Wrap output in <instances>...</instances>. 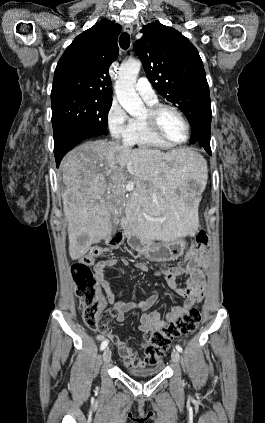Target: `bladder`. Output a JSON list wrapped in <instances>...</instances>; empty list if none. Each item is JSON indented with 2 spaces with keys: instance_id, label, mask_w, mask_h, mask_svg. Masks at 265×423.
<instances>
[{
  "instance_id": "31cf9c89",
  "label": "bladder",
  "mask_w": 265,
  "mask_h": 423,
  "mask_svg": "<svg viewBox=\"0 0 265 423\" xmlns=\"http://www.w3.org/2000/svg\"><path fill=\"white\" fill-rule=\"evenodd\" d=\"M162 370V366H155L153 368H135L129 367L126 369L128 375L134 377H151L158 375Z\"/></svg>"
}]
</instances>
